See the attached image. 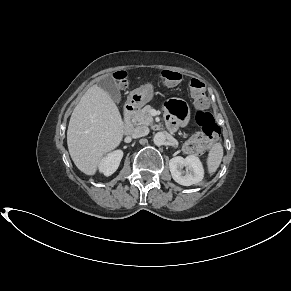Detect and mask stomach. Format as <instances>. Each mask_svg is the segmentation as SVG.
I'll return each instance as SVG.
<instances>
[{
	"mask_svg": "<svg viewBox=\"0 0 291 291\" xmlns=\"http://www.w3.org/2000/svg\"><path fill=\"white\" fill-rule=\"evenodd\" d=\"M153 94V85L148 83L130 92L127 101L134 106L141 107L152 100Z\"/></svg>",
	"mask_w": 291,
	"mask_h": 291,
	"instance_id": "0dacf381",
	"label": "stomach"
}]
</instances>
